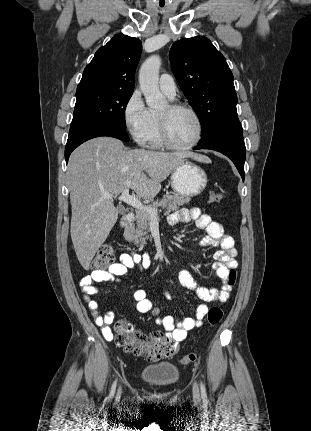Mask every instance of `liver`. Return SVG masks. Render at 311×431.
Masks as SVG:
<instances>
[{"mask_svg":"<svg viewBox=\"0 0 311 431\" xmlns=\"http://www.w3.org/2000/svg\"><path fill=\"white\" fill-rule=\"evenodd\" d=\"M192 158L211 164L207 156L194 152L127 150L115 138H94L74 150L69 158L71 239L84 269L107 239L118 219L113 200L123 190H134L142 200H153L173 170Z\"/></svg>","mask_w":311,"mask_h":431,"instance_id":"liver-1","label":"liver"}]
</instances>
